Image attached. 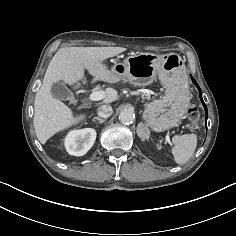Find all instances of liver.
Segmentation results:
<instances>
[{
  "mask_svg": "<svg viewBox=\"0 0 236 236\" xmlns=\"http://www.w3.org/2000/svg\"><path fill=\"white\" fill-rule=\"evenodd\" d=\"M125 50L124 47H69L56 52L34 101V129L41 144H45L58 131L75 126L86 118V114L74 116L67 105L54 98L51 86L61 80L69 85L82 81L85 69L96 80L115 84L119 81L117 76L103 61ZM117 96L115 90L108 89L102 103H112Z\"/></svg>",
  "mask_w": 236,
  "mask_h": 236,
  "instance_id": "obj_1",
  "label": "liver"
}]
</instances>
